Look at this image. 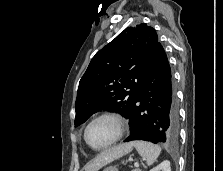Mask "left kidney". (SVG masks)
I'll return each instance as SVG.
<instances>
[{
  "label": "left kidney",
  "mask_w": 223,
  "mask_h": 171,
  "mask_svg": "<svg viewBox=\"0 0 223 171\" xmlns=\"http://www.w3.org/2000/svg\"><path fill=\"white\" fill-rule=\"evenodd\" d=\"M150 171H171L170 162L165 160Z\"/></svg>",
  "instance_id": "obj_1"
}]
</instances>
